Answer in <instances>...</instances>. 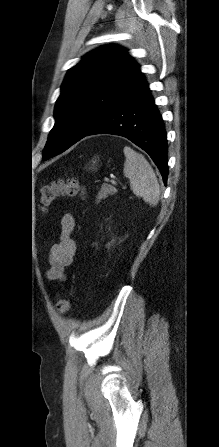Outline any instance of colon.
<instances>
[{"label": "colon", "mask_w": 219, "mask_h": 447, "mask_svg": "<svg viewBox=\"0 0 219 447\" xmlns=\"http://www.w3.org/2000/svg\"><path fill=\"white\" fill-rule=\"evenodd\" d=\"M60 196H86V189L76 178L61 179L50 185L41 188V209L47 210L55 199ZM72 306L71 298H62L58 300L56 309L61 314L69 312Z\"/></svg>", "instance_id": "obj_1"}]
</instances>
